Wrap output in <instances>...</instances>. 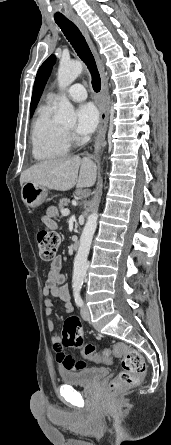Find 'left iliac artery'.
Listing matches in <instances>:
<instances>
[{
    "label": "left iliac artery",
    "mask_w": 171,
    "mask_h": 445,
    "mask_svg": "<svg viewBox=\"0 0 171 445\" xmlns=\"http://www.w3.org/2000/svg\"><path fill=\"white\" fill-rule=\"evenodd\" d=\"M80 290H81V286H79V285H76L73 287V296H74L75 302L78 306L83 305V300L80 296Z\"/></svg>",
    "instance_id": "left-iliac-artery-1"
}]
</instances>
